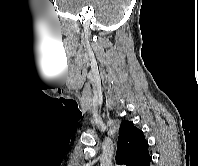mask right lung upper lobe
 Instances as JSON below:
<instances>
[{
	"instance_id": "1",
	"label": "right lung upper lobe",
	"mask_w": 198,
	"mask_h": 166,
	"mask_svg": "<svg viewBox=\"0 0 198 166\" xmlns=\"http://www.w3.org/2000/svg\"><path fill=\"white\" fill-rule=\"evenodd\" d=\"M149 157L148 142L143 132L136 128L133 122L123 121L118 137L117 164L143 166Z\"/></svg>"
}]
</instances>
